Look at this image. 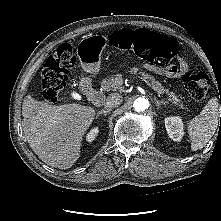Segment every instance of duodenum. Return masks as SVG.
<instances>
[{
	"label": "duodenum",
	"mask_w": 221,
	"mask_h": 221,
	"mask_svg": "<svg viewBox=\"0 0 221 221\" xmlns=\"http://www.w3.org/2000/svg\"><path fill=\"white\" fill-rule=\"evenodd\" d=\"M83 92L87 96L88 100L96 106H101L104 101V93L98 88H83Z\"/></svg>",
	"instance_id": "410a0bca"
}]
</instances>
